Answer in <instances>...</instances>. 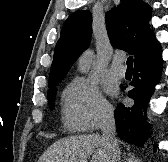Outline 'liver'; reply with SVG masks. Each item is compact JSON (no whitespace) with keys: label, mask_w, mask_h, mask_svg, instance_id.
I'll use <instances>...</instances> for the list:
<instances>
[{"label":"liver","mask_w":168,"mask_h":162,"mask_svg":"<svg viewBox=\"0 0 168 162\" xmlns=\"http://www.w3.org/2000/svg\"><path fill=\"white\" fill-rule=\"evenodd\" d=\"M110 162L102 136L98 134L79 135L61 139L52 144L38 162Z\"/></svg>","instance_id":"6515ba94"}]
</instances>
